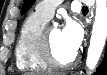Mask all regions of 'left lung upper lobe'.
Listing matches in <instances>:
<instances>
[{"instance_id": "5c2ea615", "label": "left lung upper lobe", "mask_w": 107, "mask_h": 75, "mask_svg": "<svg viewBox=\"0 0 107 75\" xmlns=\"http://www.w3.org/2000/svg\"><path fill=\"white\" fill-rule=\"evenodd\" d=\"M33 2L34 0H26L22 8V12H25L27 9H29Z\"/></svg>"}]
</instances>
